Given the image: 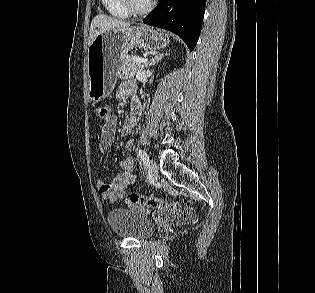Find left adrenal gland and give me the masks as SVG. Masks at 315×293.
<instances>
[{"label": "left adrenal gland", "mask_w": 315, "mask_h": 293, "mask_svg": "<svg viewBox=\"0 0 315 293\" xmlns=\"http://www.w3.org/2000/svg\"><path fill=\"white\" fill-rule=\"evenodd\" d=\"M165 56H168V51H166L165 53L156 54L143 67L150 68L151 66L155 65L156 63H158Z\"/></svg>", "instance_id": "obj_1"}]
</instances>
